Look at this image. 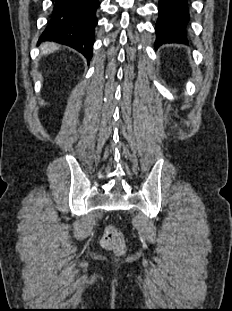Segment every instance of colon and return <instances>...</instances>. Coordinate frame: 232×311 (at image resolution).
<instances>
[{
	"mask_svg": "<svg viewBox=\"0 0 232 311\" xmlns=\"http://www.w3.org/2000/svg\"><path fill=\"white\" fill-rule=\"evenodd\" d=\"M101 245L106 250L113 251L117 254L123 253L125 242L122 232L117 227L108 225L104 230Z\"/></svg>",
	"mask_w": 232,
	"mask_h": 311,
	"instance_id": "5ec220e1",
	"label": "colon"
}]
</instances>
